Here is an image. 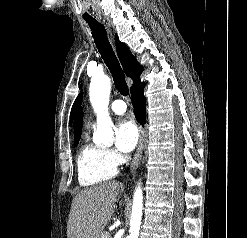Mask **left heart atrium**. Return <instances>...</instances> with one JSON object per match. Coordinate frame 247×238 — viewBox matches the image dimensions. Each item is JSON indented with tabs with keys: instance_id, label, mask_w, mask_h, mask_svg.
I'll return each mask as SVG.
<instances>
[{
	"instance_id": "left-heart-atrium-1",
	"label": "left heart atrium",
	"mask_w": 247,
	"mask_h": 238,
	"mask_svg": "<svg viewBox=\"0 0 247 238\" xmlns=\"http://www.w3.org/2000/svg\"><path fill=\"white\" fill-rule=\"evenodd\" d=\"M139 139L138 129L132 120L120 121L115 129V145L122 153L132 151Z\"/></svg>"
}]
</instances>
